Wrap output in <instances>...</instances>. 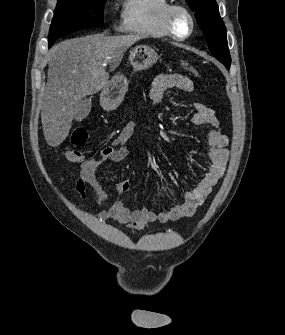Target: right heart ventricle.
<instances>
[{
    "instance_id": "1",
    "label": "right heart ventricle",
    "mask_w": 285,
    "mask_h": 335,
    "mask_svg": "<svg viewBox=\"0 0 285 335\" xmlns=\"http://www.w3.org/2000/svg\"><path fill=\"white\" fill-rule=\"evenodd\" d=\"M134 11L129 25L142 38L154 40L166 39L171 36L169 16L173 9L171 1H133Z\"/></svg>"
}]
</instances>
